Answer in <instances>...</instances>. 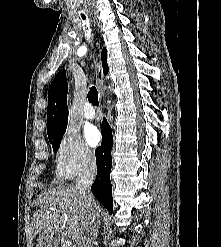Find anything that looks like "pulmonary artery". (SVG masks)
<instances>
[{"instance_id":"e3ab8cb5","label":"pulmonary artery","mask_w":221,"mask_h":247,"mask_svg":"<svg viewBox=\"0 0 221 247\" xmlns=\"http://www.w3.org/2000/svg\"><path fill=\"white\" fill-rule=\"evenodd\" d=\"M83 114L85 116V118L87 119H93L95 117V110L93 109V107L88 103L83 111Z\"/></svg>"}]
</instances>
